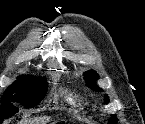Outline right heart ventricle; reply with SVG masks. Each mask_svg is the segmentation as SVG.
I'll list each match as a JSON object with an SVG mask.
<instances>
[{
	"mask_svg": "<svg viewBox=\"0 0 145 124\" xmlns=\"http://www.w3.org/2000/svg\"><path fill=\"white\" fill-rule=\"evenodd\" d=\"M67 100L71 103V104H75L78 101V96L74 95V94H70L67 96Z\"/></svg>",
	"mask_w": 145,
	"mask_h": 124,
	"instance_id": "e07e8e85",
	"label": "right heart ventricle"
}]
</instances>
